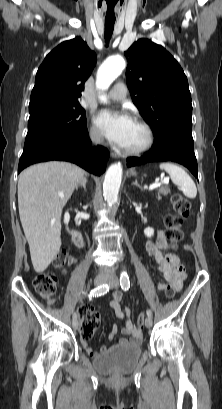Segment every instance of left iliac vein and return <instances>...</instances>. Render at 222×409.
Wrapping results in <instances>:
<instances>
[{
    "label": "left iliac vein",
    "mask_w": 222,
    "mask_h": 409,
    "mask_svg": "<svg viewBox=\"0 0 222 409\" xmlns=\"http://www.w3.org/2000/svg\"><path fill=\"white\" fill-rule=\"evenodd\" d=\"M108 283H109L112 287H117L118 284H119V281H118V279H117L115 276H111V277L108 279ZM152 323H153L152 318H151V317H147L146 320H145V326H146L147 328H150V327L152 326Z\"/></svg>",
    "instance_id": "4c4485c4"
}]
</instances>
